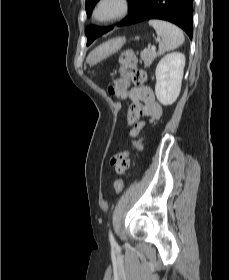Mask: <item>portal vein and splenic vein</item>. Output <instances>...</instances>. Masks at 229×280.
<instances>
[{
  "mask_svg": "<svg viewBox=\"0 0 229 280\" xmlns=\"http://www.w3.org/2000/svg\"><path fill=\"white\" fill-rule=\"evenodd\" d=\"M151 49H152V50H155V49H156V47H155L154 45H152V46H151Z\"/></svg>",
  "mask_w": 229,
  "mask_h": 280,
  "instance_id": "1",
  "label": "portal vein and splenic vein"
}]
</instances>
